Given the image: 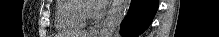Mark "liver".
<instances>
[{"label": "liver", "instance_id": "obj_1", "mask_svg": "<svg viewBox=\"0 0 219 37\" xmlns=\"http://www.w3.org/2000/svg\"><path fill=\"white\" fill-rule=\"evenodd\" d=\"M78 35H80L79 37H87L86 33H79Z\"/></svg>", "mask_w": 219, "mask_h": 37}]
</instances>
